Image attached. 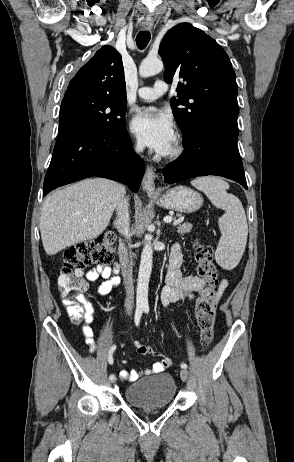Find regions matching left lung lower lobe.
<instances>
[{"label": "left lung lower lobe", "instance_id": "1", "mask_svg": "<svg viewBox=\"0 0 294 462\" xmlns=\"http://www.w3.org/2000/svg\"><path fill=\"white\" fill-rule=\"evenodd\" d=\"M239 107L226 105L209 114L194 133L183 140L185 155L164 168L168 184L196 176L217 175L247 189L243 164L236 146Z\"/></svg>", "mask_w": 294, "mask_h": 462}]
</instances>
